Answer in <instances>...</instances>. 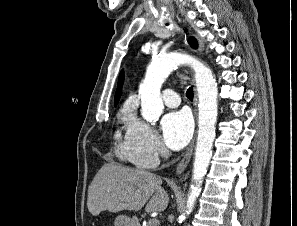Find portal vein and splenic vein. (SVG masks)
<instances>
[{
    "label": "portal vein and splenic vein",
    "instance_id": "18ae733b",
    "mask_svg": "<svg viewBox=\"0 0 297 226\" xmlns=\"http://www.w3.org/2000/svg\"><path fill=\"white\" fill-rule=\"evenodd\" d=\"M159 221L157 220V219H151V220H149V222L148 223H150V224H152V225H155V224H157Z\"/></svg>",
    "mask_w": 297,
    "mask_h": 226
}]
</instances>
